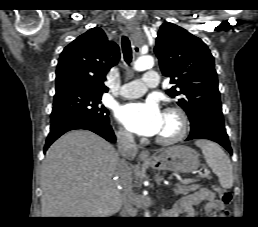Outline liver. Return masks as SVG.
<instances>
[{
	"label": "liver",
	"instance_id": "6515ba94",
	"mask_svg": "<svg viewBox=\"0 0 258 227\" xmlns=\"http://www.w3.org/2000/svg\"><path fill=\"white\" fill-rule=\"evenodd\" d=\"M119 161L115 148L93 132L73 130L61 136L47 150L42 164V217L117 213L125 184ZM128 172L131 184V167Z\"/></svg>",
	"mask_w": 258,
	"mask_h": 227
}]
</instances>
